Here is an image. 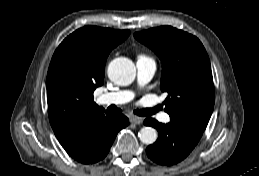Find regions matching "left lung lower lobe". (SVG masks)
Masks as SVG:
<instances>
[{
	"label": "left lung lower lobe",
	"instance_id": "left-lung-lower-lobe-1",
	"mask_svg": "<svg viewBox=\"0 0 259 176\" xmlns=\"http://www.w3.org/2000/svg\"><path fill=\"white\" fill-rule=\"evenodd\" d=\"M158 130V139L147 147V156L160 165H173L185 159L199 142L202 131L170 121L162 124L153 118L144 121Z\"/></svg>",
	"mask_w": 259,
	"mask_h": 176
}]
</instances>
